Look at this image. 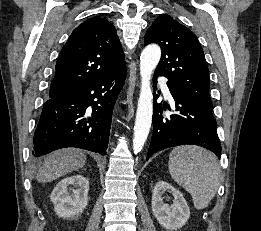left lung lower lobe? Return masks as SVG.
I'll return each mask as SVG.
<instances>
[{
  "instance_id": "1",
  "label": "left lung lower lobe",
  "mask_w": 261,
  "mask_h": 231,
  "mask_svg": "<svg viewBox=\"0 0 261 231\" xmlns=\"http://www.w3.org/2000/svg\"><path fill=\"white\" fill-rule=\"evenodd\" d=\"M158 76L154 75V84ZM168 87L175 100L177 114L162 115L169 106L158 104L155 94L153 135L146 159L160 150L186 144L202 146L220 158L221 146L212 110L190 103Z\"/></svg>"
}]
</instances>
